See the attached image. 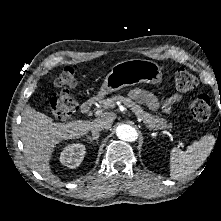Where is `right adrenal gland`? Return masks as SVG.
Masks as SVG:
<instances>
[{
  "instance_id": "1",
  "label": "right adrenal gland",
  "mask_w": 221,
  "mask_h": 221,
  "mask_svg": "<svg viewBox=\"0 0 221 221\" xmlns=\"http://www.w3.org/2000/svg\"><path fill=\"white\" fill-rule=\"evenodd\" d=\"M87 139L90 141L95 140L96 144H98L99 134L93 135V136H87Z\"/></svg>"
}]
</instances>
